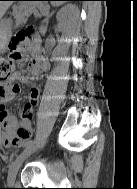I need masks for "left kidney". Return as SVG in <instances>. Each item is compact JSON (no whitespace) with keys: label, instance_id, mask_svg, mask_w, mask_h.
Wrapping results in <instances>:
<instances>
[{"label":"left kidney","instance_id":"left-kidney-1","mask_svg":"<svg viewBox=\"0 0 137 189\" xmlns=\"http://www.w3.org/2000/svg\"><path fill=\"white\" fill-rule=\"evenodd\" d=\"M77 11L74 6L68 5L64 8H62L57 13V20L61 23V28L64 30L66 26L75 18ZM66 17L69 18V20H66Z\"/></svg>","mask_w":137,"mask_h":189}]
</instances>
